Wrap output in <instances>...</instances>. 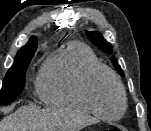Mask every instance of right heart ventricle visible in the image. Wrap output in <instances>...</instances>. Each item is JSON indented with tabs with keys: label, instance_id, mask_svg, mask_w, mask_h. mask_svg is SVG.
I'll return each instance as SVG.
<instances>
[{
	"label": "right heart ventricle",
	"instance_id": "1",
	"mask_svg": "<svg viewBox=\"0 0 151 131\" xmlns=\"http://www.w3.org/2000/svg\"><path fill=\"white\" fill-rule=\"evenodd\" d=\"M96 64L99 60L92 49L81 42H69L44 63L38 79L40 98L49 105L91 112L81 95V83Z\"/></svg>",
	"mask_w": 151,
	"mask_h": 131
}]
</instances>
